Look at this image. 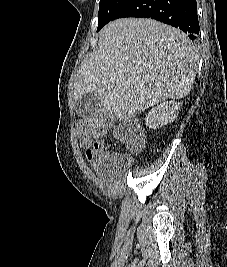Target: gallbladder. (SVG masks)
<instances>
[{
	"mask_svg": "<svg viewBox=\"0 0 227 267\" xmlns=\"http://www.w3.org/2000/svg\"><path fill=\"white\" fill-rule=\"evenodd\" d=\"M101 107L99 97L94 93H86L76 99L75 108L79 115L90 117Z\"/></svg>",
	"mask_w": 227,
	"mask_h": 267,
	"instance_id": "bac80fb5",
	"label": "gallbladder"
}]
</instances>
